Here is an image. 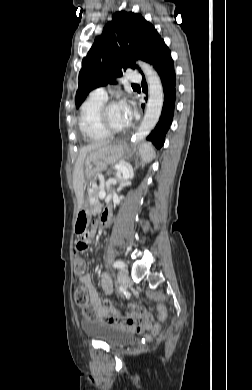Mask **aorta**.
<instances>
[{
  "label": "aorta",
  "instance_id": "aorta-1",
  "mask_svg": "<svg viewBox=\"0 0 252 390\" xmlns=\"http://www.w3.org/2000/svg\"><path fill=\"white\" fill-rule=\"evenodd\" d=\"M138 65L145 74L148 84V102L144 118L135 133L132 142L134 144L143 140L156 126L161 115L164 93L161 80L157 72L147 63L138 62Z\"/></svg>",
  "mask_w": 252,
  "mask_h": 390
}]
</instances>
